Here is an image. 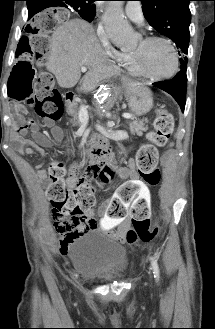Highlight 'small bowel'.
Listing matches in <instances>:
<instances>
[{
  "instance_id": "c3829d8e",
  "label": "small bowel",
  "mask_w": 215,
  "mask_h": 329,
  "mask_svg": "<svg viewBox=\"0 0 215 329\" xmlns=\"http://www.w3.org/2000/svg\"><path fill=\"white\" fill-rule=\"evenodd\" d=\"M46 124L52 128L53 136H45L33 126L31 129L34 140L26 139L27 126H15L14 135L18 151L22 154L34 155L44 147L53 146L59 140L61 132L52 122L47 121ZM81 166V164H76L71 167L68 175L70 183H76L75 172L79 171ZM37 175L39 178H43L45 175L44 170H38ZM119 175L123 179H128L127 182H121L120 187H117V192L111 199L104 201L100 205L97 213L100 219H106L101 221V226L105 232H109L111 227H119L115 233L116 239L121 242L127 241L132 243L134 240H130L127 237L130 225L128 218H152V207L149 206V201L147 200L151 197L152 188L146 187V183L137 177L132 161L129 162L127 167L119 170ZM52 218L57 231L61 234L58 246V252L61 255L71 253V244L80 235L100 228L93 211H90L86 217L80 218L77 222L67 225H58L60 217L54 211H52Z\"/></svg>"
}]
</instances>
